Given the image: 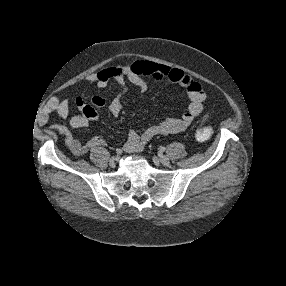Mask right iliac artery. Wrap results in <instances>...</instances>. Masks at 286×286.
<instances>
[{
	"instance_id": "82829eb1",
	"label": "right iliac artery",
	"mask_w": 286,
	"mask_h": 286,
	"mask_svg": "<svg viewBox=\"0 0 286 286\" xmlns=\"http://www.w3.org/2000/svg\"><path fill=\"white\" fill-rule=\"evenodd\" d=\"M116 153H118L119 155H122L123 151L121 150V148H116Z\"/></svg>"
}]
</instances>
